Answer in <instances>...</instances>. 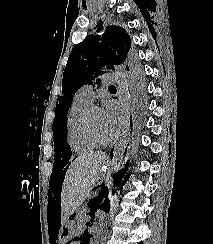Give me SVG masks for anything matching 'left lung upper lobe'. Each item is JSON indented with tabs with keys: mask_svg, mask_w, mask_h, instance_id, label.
<instances>
[{
	"mask_svg": "<svg viewBox=\"0 0 213 244\" xmlns=\"http://www.w3.org/2000/svg\"><path fill=\"white\" fill-rule=\"evenodd\" d=\"M131 39L126 30L116 25H100L71 51L62 81V95L56 103L55 120L52 125L54 138H66L67 112L75 92L90 83L106 70L115 66L125 68L129 77L135 107L145 106V85L141 69L131 53Z\"/></svg>",
	"mask_w": 213,
	"mask_h": 244,
	"instance_id": "1",
	"label": "left lung upper lobe"
}]
</instances>
